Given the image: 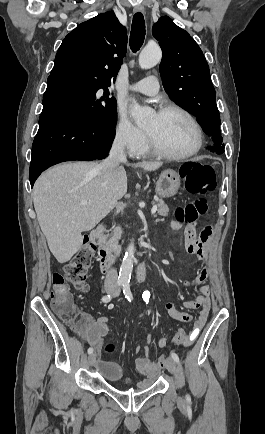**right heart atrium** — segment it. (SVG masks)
Listing matches in <instances>:
<instances>
[{
  "mask_svg": "<svg viewBox=\"0 0 265 434\" xmlns=\"http://www.w3.org/2000/svg\"><path fill=\"white\" fill-rule=\"evenodd\" d=\"M116 108V122L113 123L112 127L117 132L116 139L112 140V147L122 148L124 157H130V154H140L141 151H145L147 143L143 127L135 125L131 121V118L127 115L128 108L125 101H118Z\"/></svg>",
  "mask_w": 265,
  "mask_h": 434,
  "instance_id": "1",
  "label": "right heart atrium"
}]
</instances>
